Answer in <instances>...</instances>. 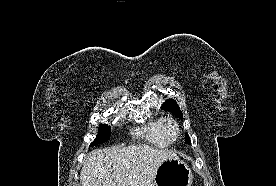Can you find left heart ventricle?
Wrapping results in <instances>:
<instances>
[{
  "instance_id": "left-heart-ventricle-1",
  "label": "left heart ventricle",
  "mask_w": 276,
  "mask_h": 186,
  "mask_svg": "<svg viewBox=\"0 0 276 186\" xmlns=\"http://www.w3.org/2000/svg\"><path fill=\"white\" fill-rule=\"evenodd\" d=\"M169 132H170V135H171V136H174V135H175V131H174V129H170V131H169Z\"/></svg>"
}]
</instances>
